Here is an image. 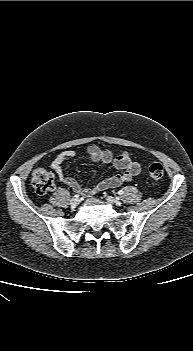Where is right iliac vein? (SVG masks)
Segmentation results:
<instances>
[{"label": "right iliac vein", "instance_id": "right-iliac-vein-1", "mask_svg": "<svg viewBox=\"0 0 193 351\" xmlns=\"http://www.w3.org/2000/svg\"><path fill=\"white\" fill-rule=\"evenodd\" d=\"M78 205H79V200L78 199H76V198L71 199L70 206L72 208H76Z\"/></svg>", "mask_w": 193, "mask_h": 351}]
</instances>
